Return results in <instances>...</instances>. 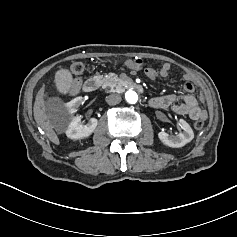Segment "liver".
Wrapping results in <instances>:
<instances>
[{
    "label": "liver",
    "mask_w": 237,
    "mask_h": 237,
    "mask_svg": "<svg viewBox=\"0 0 237 237\" xmlns=\"http://www.w3.org/2000/svg\"><path fill=\"white\" fill-rule=\"evenodd\" d=\"M36 107H38L35 104V110H34V116L35 119L38 120V124L40 125V127L45 131L46 133V137L55 145L59 146L60 145V140L58 138V135L56 134V132L54 131L53 128L51 127H45V123H44V118L42 117V113L37 112L36 111ZM43 121V122H42Z\"/></svg>",
    "instance_id": "obj_1"
}]
</instances>
